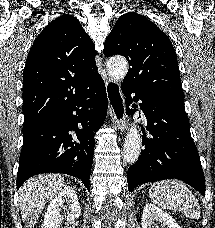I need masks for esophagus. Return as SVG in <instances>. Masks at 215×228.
Returning a JSON list of instances; mask_svg holds the SVG:
<instances>
[{
	"label": "esophagus",
	"instance_id": "obj_1",
	"mask_svg": "<svg viewBox=\"0 0 215 228\" xmlns=\"http://www.w3.org/2000/svg\"><path fill=\"white\" fill-rule=\"evenodd\" d=\"M105 85L112 121L119 131H125L126 106L121 87L119 83L112 78H107Z\"/></svg>",
	"mask_w": 215,
	"mask_h": 228
}]
</instances>
